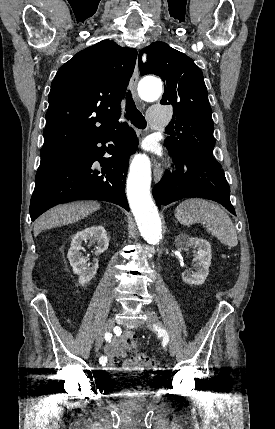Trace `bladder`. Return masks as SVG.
Wrapping results in <instances>:
<instances>
[{
    "label": "bladder",
    "mask_w": 275,
    "mask_h": 429,
    "mask_svg": "<svg viewBox=\"0 0 275 429\" xmlns=\"http://www.w3.org/2000/svg\"><path fill=\"white\" fill-rule=\"evenodd\" d=\"M106 384V397L117 398L118 403H145L158 393L152 377H107Z\"/></svg>",
    "instance_id": "1"
}]
</instances>
